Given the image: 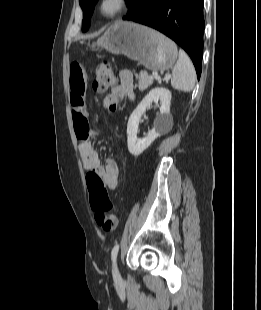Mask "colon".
<instances>
[{"mask_svg": "<svg viewBox=\"0 0 261 310\" xmlns=\"http://www.w3.org/2000/svg\"><path fill=\"white\" fill-rule=\"evenodd\" d=\"M115 83L116 77L111 65L106 61L99 63L95 68L92 83L93 89L101 93L115 85ZM86 181L90 195V205L97 225L105 232L115 230L117 218L110 213L112 203L101 176L96 172L90 171L86 175Z\"/></svg>", "mask_w": 261, "mask_h": 310, "instance_id": "5ec220e1", "label": "colon"}]
</instances>
